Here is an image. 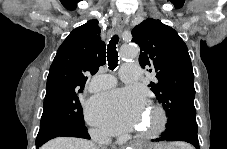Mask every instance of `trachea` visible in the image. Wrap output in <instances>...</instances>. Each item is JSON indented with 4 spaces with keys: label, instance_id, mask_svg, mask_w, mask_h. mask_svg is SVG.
<instances>
[{
    "label": "trachea",
    "instance_id": "3493384b",
    "mask_svg": "<svg viewBox=\"0 0 227 149\" xmlns=\"http://www.w3.org/2000/svg\"><path fill=\"white\" fill-rule=\"evenodd\" d=\"M119 41L118 35H114L107 48V60L109 69L114 70L118 65V51H117V44Z\"/></svg>",
    "mask_w": 227,
    "mask_h": 149
}]
</instances>
